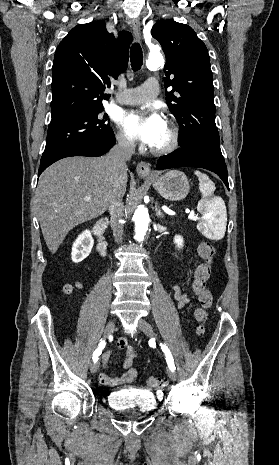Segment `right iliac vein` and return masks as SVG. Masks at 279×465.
Masks as SVG:
<instances>
[{
	"mask_svg": "<svg viewBox=\"0 0 279 465\" xmlns=\"http://www.w3.org/2000/svg\"><path fill=\"white\" fill-rule=\"evenodd\" d=\"M115 330V322L113 320L109 321L105 327L104 330V337H109L111 334H113ZM99 368V363L98 362H93L90 365V370L92 373H96Z\"/></svg>",
	"mask_w": 279,
	"mask_h": 465,
	"instance_id": "obj_1",
	"label": "right iliac vein"
}]
</instances>
